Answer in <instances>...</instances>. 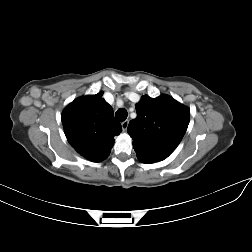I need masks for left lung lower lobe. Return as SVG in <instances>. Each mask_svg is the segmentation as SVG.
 Here are the masks:
<instances>
[{
  "label": "left lung lower lobe",
  "instance_id": "0a47b994",
  "mask_svg": "<svg viewBox=\"0 0 252 252\" xmlns=\"http://www.w3.org/2000/svg\"><path fill=\"white\" fill-rule=\"evenodd\" d=\"M141 162L146 163V164H149V163H150V162H147V161H141Z\"/></svg>",
  "mask_w": 252,
  "mask_h": 252
}]
</instances>
